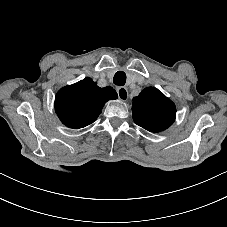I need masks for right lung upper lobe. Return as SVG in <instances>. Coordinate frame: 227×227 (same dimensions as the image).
Returning a JSON list of instances; mask_svg holds the SVG:
<instances>
[{
	"label": "right lung upper lobe",
	"instance_id": "right-lung-upper-lobe-1",
	"mask_svg": "<svg viewBox=\"0 0 227 227\" xmlns=\"http://www.w3.org/2000/svg\"><path fill=\"white\" fill-rule=\"evenodd\" d=\"M116 91L100 88L91 78L63 87L55 97V111L64 125L79 129L93 123L108 100L116 99Z\"/></svg>",
	"mask_w": 227,
	"mask_h": 227
}]
</instances>
